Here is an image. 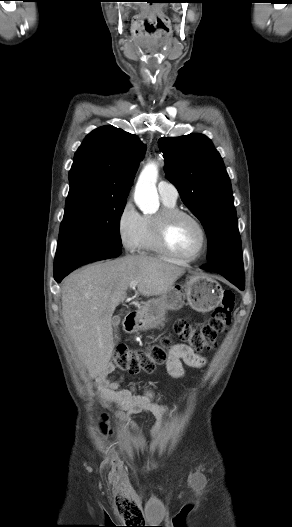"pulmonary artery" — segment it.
Returning a JSON list of instances; mask_svg holds the SVG:
<instances>
[{
    "mask_svg": "<svg viewBox=\"0 0 292 527\" xmlns=\"http://www.w3.org/2000/svg\"><path fill=\"white\" fill-rule=\"evenodd\" d=\"M157 189L160 196L164 199L176 202L179 196L177 188L170 182L161 180L157 184Z\"/></svg>",
    "mask_w": 292,
    "mask_h": 527,
    "instance_id": "e3ab8cb5",
    "label": "pulmonary artery"
}]
</instances>
